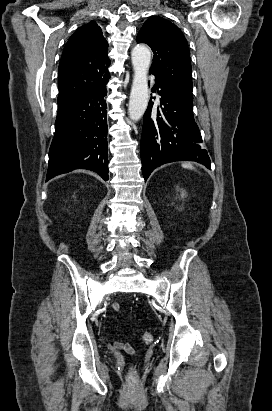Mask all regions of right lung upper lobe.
Here are the masks:
<instances>
[{
    "instance_id": "obj_1",
    "label": "right lung upper lobe",
    "mask_w": 272,
    "mask_h": 411,
    "mask_svg": "<svg viewBox=\"0 0 272 411\" xmlns=\"http://www.w3.org/2000/svg\"><path fill=\"white\" fill-rule=\"evenodd\" d=\"M108 43L91 21L68 40L58 68V104L82 95L109 79Z\"/></svg>"
}]
</instances>
